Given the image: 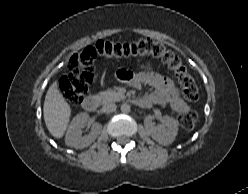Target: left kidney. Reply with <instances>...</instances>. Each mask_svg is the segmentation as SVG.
<instances>
[{"instance_id":"left-kidney-1","label":"left kidney","mask_w":248,"mask_h":194,"mask_svg":"<svg viewBox=\"0 0 248 194\" xmlns=\"http://www.w3.org/2000/svg\"><path fill=\"white\" fill-rule=\"evenodd\" d=\"M150 136L158 143L167 146L173 143L177 132L178 123L169 116H164L162 125L152 126L148 129Z\"/></svg>"}]
</instances>
